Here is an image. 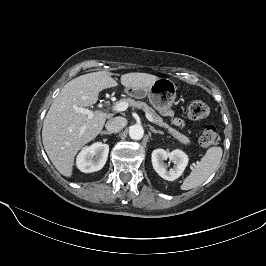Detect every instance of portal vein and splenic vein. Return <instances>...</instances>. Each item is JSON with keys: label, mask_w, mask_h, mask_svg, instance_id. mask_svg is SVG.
<instances>
[{"label": "portal vein and splenic vein", "mask_w": 266, "mask_h": 266, "mask_svg": "<svg viewBox=\"0 0 266 266\" xmlns=\"http://www.w3.org/2000/svg\"><path fill=\"white\" fill-rule=\"evenodd\" d=\"M128 106H129V105H128L127 102H125V101H120V102H117L116 104H114V105L112 106V109H113L114 111H117V112H122V111H125V110L128 108ZM74 110H75L77 113H82V114H84V115H87V118H88V119H91V118H93V116H94V112H93L92 110L87 109V108H82V107L74 106ZM145 115H146V118H147L150 122L156 124L155 120L152 118L151 115H149L148 113H146ZM84 129H85V126L82 127L81 132H83Z\"/></svg>", "instance_id": "obj_1"}]
</instances>
